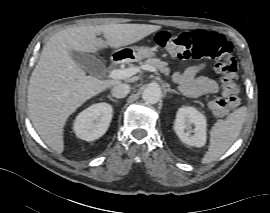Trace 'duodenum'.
<instances>
[{
    "label": "duodenum",
    "instance_id": "obj_1",
    "mask_svg": "<svg viewBox=\"0 0 270 213\" xmlns=\"http://www.w3.org/2000/svg\"><path fill=\"white\" fill-rule=\"evenodd\" d=\"M125 56L123 54H115L113 56V63L114 64H120L124 61Z\"/></svg>",
    "mask_w": 270,
    "mask_h": 213
}]
</instances>
